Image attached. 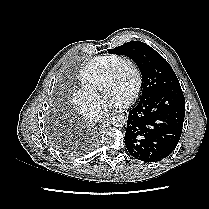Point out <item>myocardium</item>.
<instances>
[{
	"label": "myocardium",
	"mask_w": 209,
	"mask_h": 209,
	"mask_svg": "<svg viewBox=\"0 0 209 209\" xmlns=\"http://www.w3.org/2000/svg\"><path fill=\"white\" fill-rule=\"evenodd\" d=\"M123 63L129 64L134 72L135 75V83L132 88V91L127 99V102H133L137 97L140 92L141 86H142V74L141 71L136 64V62L129 58V57H119L116 59L107 69L105 72L103 82H102V87L104 88L116 75V72L119 68V66Z\"/></svg>",
	"instance_id": "1"
}]
</instances>
